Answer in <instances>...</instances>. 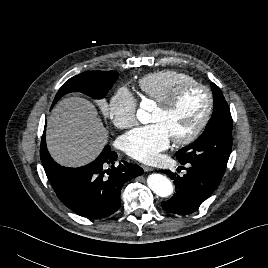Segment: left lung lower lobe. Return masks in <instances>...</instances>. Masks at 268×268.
<instances>
[{
    "label": "left lung lower lobe",
    "instance_id": "obj_1",
    "mask_svg": "<svg viewBox=\"0 0 268 268\" xmlns=\"http://www.w3.org/2000/svg\"><path fill=\"white\" fill-rule=\"evenodd\" d=\"M187 174L179 177L169 170L162 171L169 175L176 186V193L161 203L162 208L171 213L186 215L195 212L218 187L223 174L201 164H188Z\"/></svg>",
    "mask_w": 268,
    "mask_h": 268
}]
</instances>
